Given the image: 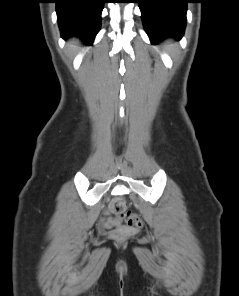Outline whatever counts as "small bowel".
I'll list each match as a JSON object with an SVG mask.
<instances>
[{
	"label": "small bowel",
	"instance_id": "small-bowel-1",
	"mask_svg": "<svg viewBox=\"0 0 239 296\" xmlns=\"http://www.w3.org/2000/svg\"><path fill=\"white\" fill-rule=\"evenodd\" d=\"M105 223L109 226H113L115 224V221L112 220L109 215H107L106 219H105Z\"/></svg>",
	"mask_w": 239,
	"mask_h": 296
}]
</instances>
